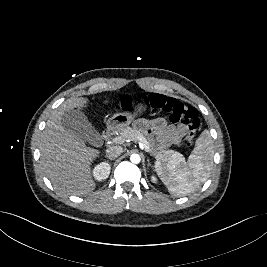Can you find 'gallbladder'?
<instances>
[{"instance_id": "obj_1", "label": "gallbladder", "mask_w": 267, "mask_h": 267, "mask_svg": "<svg viewBox=\"0 0 267 267\" xmlns=\"http://www.w3.org/2000/svg\"><path fill=\"white\" fill-rule=\"evenodd\" d=\"M62 125L68 132L93 146L99 147L103 143L100 133L80 110L72 109L64 112Z\"/></svg>"}]
</instances>
